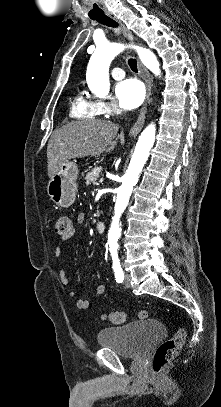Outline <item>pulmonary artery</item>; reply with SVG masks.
<instances>
[{"label": "pulmonary artery", "instance_id": "1", "mask_svg": "<svg viewBox=\"0 0 221 407\" xmlns=\"http://www.w3.org/2000/svg\"><path fill=\"white\" fill-rule=\"evenodd\" d=\"M112 76H113L114 79L119 80V79H122V78L125 77V72H124V70L122 68L115 67L112 70Z\"/></svg>", "mask_w": 221, "mask_h": 407}]
</instances>
